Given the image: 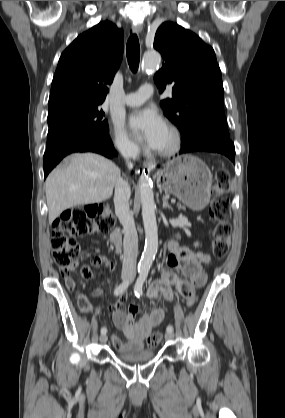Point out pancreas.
I'll list each match as a JSON object with an SVG mask.
<instances>
[{
    "label": "pancreas",
    "mask_w": 285,
    "mask_h": 418,
    "mask_svg": "<svg viewBox=\"0 0 285 418\" xmlns=\"http://www.w3.org/2000/svg\"><path fill=\"white\" fill-rule=\"evenodd\" d=\"M178 207H179V208H182V205H181V204H178Z\"/></svg>",
    "instance_id": "obj_1"
}]
</instances>
